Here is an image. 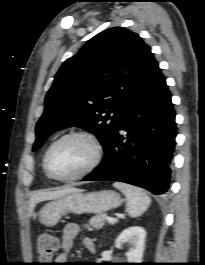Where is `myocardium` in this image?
I'll list each match as a JSON object with an SVG mask.
<instances>
[{
  "instance_id": "obj_1",
  "label": "myocardium",
  "mask_w": 205,
  "mask_h": 265,
  "mask_svg": "<svg viewBox=\"0 0 205 265\" xmlns=\"http://www.w3.org/2000/svg\"><path fill=\"white\" fill-rule=\"evenodd\" d=\"M73 137H80V138H84V139L88 140L93 147V157L86 167H84L81 171H79L78 173H76L74 175H71V176L56 175L55 173L52 172V170L49 167L50 154H51L52 150L59 143H61L62 141L66 140L68 138H73ZM102 156H103L102 145L95 135H93L90 132L83 131V130H73V131H70V132H67V133L61 135L59 138H57L55 141H53L50 144V146L46 150L44 158H43V168H44L45 173L50 178L57 180V181H61V182H71V181L81 179V178L87 176L88 174H90L91 172H93L98 167V165L100 164V162L102 160Z\"/></svg>"
}]
</instances>
